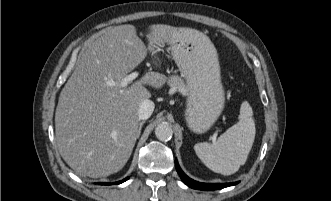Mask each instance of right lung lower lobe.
<instances>
[{
    "mask_svg": "<svg viewBox=\"0 0 331 201\" xmlns=\"http://www.w3.org/2000/svg\"><path fill=\"white\" fill-rule=\"evenodd\" d=\"M127 179H129V177H127V178H125V179H123V180H121V181L115 182V183H113V184H120V183H123V182L126 181ZM99 184H102V185H109V184H111V183H99Z\"/></svg>",
    "mask_w": 331,
    "mask_h": 201,
    "instance_id": "1",
    "label": "right lung lower lobe"
}]
</instances>
